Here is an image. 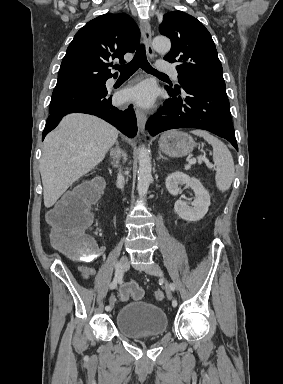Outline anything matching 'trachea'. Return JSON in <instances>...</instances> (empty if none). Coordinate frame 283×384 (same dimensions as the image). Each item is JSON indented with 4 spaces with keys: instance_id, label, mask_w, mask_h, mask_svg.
<instances>
[{
    "instance_id": "3493384b",
    "label": "trachea",
    "mask_w": 283,
    "mask_h": 384,
    "mask_svg": "<svg viewBox=\"0 0 283 384\" xmlns=\"http://www.w3.org/2000/svg\"><path fill=\"white\" fill-rule=\"evenodd\" d=\"M114 68L119 70L121 74H133L136 72V70H138V68H142V70L147 73L167 77L165 73L159 72L151 67L146 57V50L144 44L140 45L131 62L126 63V65H117Z\"/></svg>"
}]
</instances>
